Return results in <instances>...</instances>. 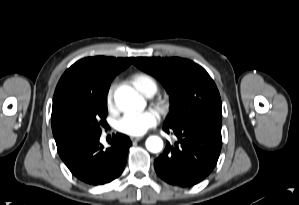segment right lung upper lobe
Returning a JSON list of instances; mask_svg holds the SVG:
<instances>
[{"instance_id": "obj_1", "label": "right lung upper lobe", "mask_w": 299, "mask_h": 205, "mask_svg": "<svg viewBox=\"0 0 299 205\" xmlns=\"http://www.w3.org/2000/svg\"><path fill=\"white\" fill-rule=\"evenodd\" d=\"M133 58L87 57L77 61L60 78L53 97L52 113L75 93L103 87L126 69Z\"/></svg>"}]
</instances>
